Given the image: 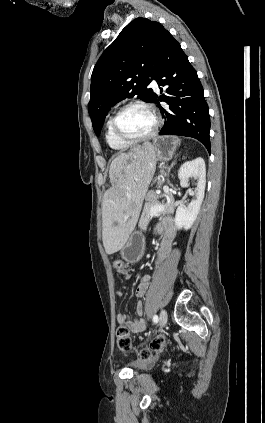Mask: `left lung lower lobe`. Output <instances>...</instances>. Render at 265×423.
Instances as JSON below:
<instances>
[{"instance_id":"left-lung-lower-lobe-1","label":"left lung lower lobe","mask_w":265,"mask_h":423,"mask_svg":"<svg viewBox=\"0 0 265 423\" xmlns=\"http://www.w3.org/2000/svg\"><path fill=\"white\" fill-rule=\"evenodd\" d=\"M161 92L166 87L167 95L158 98L154 103L163 100L169 108H161L166 119L159 135H179L199 140L210 153V116L209 108L203 95V87L196 70L191 66L180 44L172 35L167 44L154 76Z\"/></svg>"}]
</instances>
